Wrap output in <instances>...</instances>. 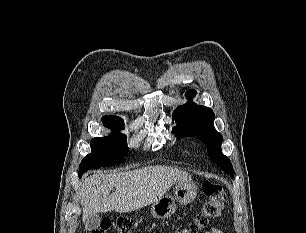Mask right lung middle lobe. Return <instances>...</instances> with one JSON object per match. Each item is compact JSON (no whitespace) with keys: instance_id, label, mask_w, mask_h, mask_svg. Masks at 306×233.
I'll list each match as a JSON object with an SVG mask.
<instances>
[{"instance_id":"1","label":"right lung middle lobe","mask_w":306,"mask_h":233,"mask_svg":"<svg viewBox=\"0 0 306 233\" xmlns=\"http://www.w3.org/2000/svg\"><path fill=\"white\" fill-rule=\"evenodd\" d=\"M103 125L113 130L107 137H98L91 140L92 152L83 158L79 167V177L92 168H100L121 163L129 148L126 136L118 130L124 128V122L117 116H104Z\"/></svg>"}]
</instances>
